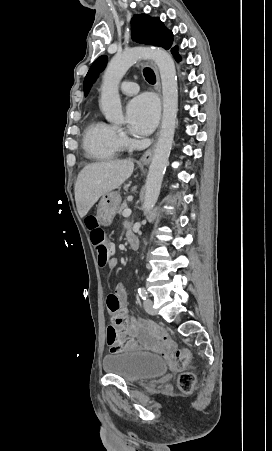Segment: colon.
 <instances>
[{"label": "colon", "mask_w": 272, "mask_h": 451, "mask_svg": "<svg viewBox=\"0 0 272 451\" xmlns=\"http://www.w3.org/2000/svg\"><path fill=\"white\" fill-rule=\"evenodd\" d=\"M97 218L89 216L86 219V225L90 228V239L97 252V264L105 266L108 264L112 252V242L107 241L108 233L102 228H97ZM106 348H111L113 353H120L124 349L130 351H139V342H130L127 338L118 339L116 325H110L106 328ZM165 351L170 354V365L175 367L179 373L177 385L186 393L192 392L195 387V376L185 369L188 359L192 356L189 350L181 352V346L175 342H167Z\"/></svg>", "instance_id": "obj_1"}]
</instances>
